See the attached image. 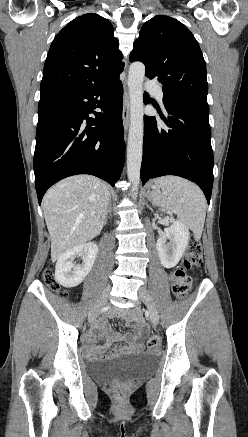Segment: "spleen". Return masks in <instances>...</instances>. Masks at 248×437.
I'll use <instances>...</instances> for the list:
<instances>
[{
    "instance_id": "1",
    "label": "spleen",
    "mask_w": 248,
    "mask_h": 437,
    "mask_svg": "<svg viewBox=\"0 0 248 437\" xmlns=\"http://www.w3.org/2000/svg\"><path fill=\"white\" fill-rule=\"evenodd\" d=\"M155 189L154 203L171 209L179 221L199 239L206 216V199L200 188L177 176H163L156 179Z\"/></svg>"
}]
</instances>
